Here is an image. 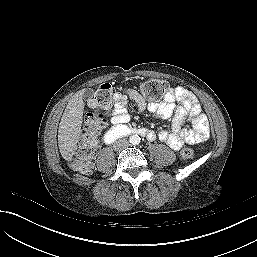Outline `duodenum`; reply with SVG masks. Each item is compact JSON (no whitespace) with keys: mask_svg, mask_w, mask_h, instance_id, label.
Instances as JSON below:
<instances>
[{"mask_svg":"<svg viewBox=\"0 0 257 257\" xmlns=\"http://www.w3.org/2000/svg\"><path fill=\"white\" fill-rule=\"evenodd\" d=\"M148 131L144 128H133L124 125H119L108 130L104 136V141L107 144L113 143L115 140L126 135H147Z\"/></svg>","mask_w":257,"mask_h":257,"instance_id":"obj_1","label":"duodenum"}]
</instances>
